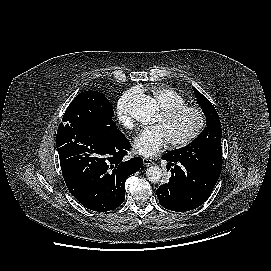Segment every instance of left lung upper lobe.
I'll return each instance as SVG.
<instances>
[{
    "label": "left lung upper lobe",
    "mask_w": 271,
    "mask_h": 271,
    "mask_svg": "<svg viewBox=\"0 0 271 271\" xmlns=\"http://www.w3.org/2000/svg\"><path fill=\"white\" fill-rule=\"evenodd\" d=\"M193 90L206 116V128L192 143L186 147L170 151L169 153L176 160L198 166L207 173L219 177L223 162L221 150V122L212 103L198 90L195 88H193Z\"/></svg>",
    "instance_id": "1"
}]
</instances>
